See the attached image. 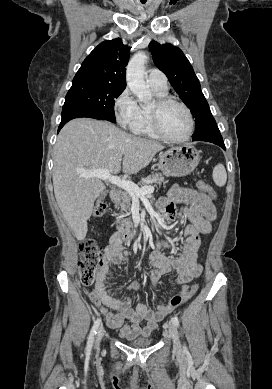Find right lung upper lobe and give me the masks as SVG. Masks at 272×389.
I'll list each match as a JSON object with an SVG mask.
<instances>
[{
    "label": "right lung upper lobe",
    "instance_id": "right-lung-upper-lobe-1",
    "mask_svg": "<svg viewBox=\"0 0 272 389\" xmlns=\"http://www.w3.org/2000/svg\"><path fill=\"white\" fill-rule=\"evenodd\" d=\"M129 50L120 38L100 43L83 61L73 84L95 83L126 87Z\"/></svg>",
    "mask_w": 272,
    "mask_h": 389
}]
</instances>
